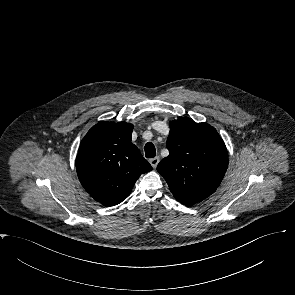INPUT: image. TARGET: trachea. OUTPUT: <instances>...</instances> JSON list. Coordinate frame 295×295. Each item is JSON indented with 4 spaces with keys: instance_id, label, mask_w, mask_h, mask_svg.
Wrapping results in <instances>:
<instances>
[{
    "instance_id": "1",
    "label": "trachea",
    "mask_w": 295,
    "mask_h": 295,
    "mask_svg": "<svg viewBox=\"0 0 295 295\" xmlns=\"http://www.w3.org/2000/svg\"><path fill=\"white\" fill-rule=\"evenodd\" d=\"M145 155L147 158H153L156 156V149L153 143L148 142L145 145Z\"/></svg>"
}]
</instances>
